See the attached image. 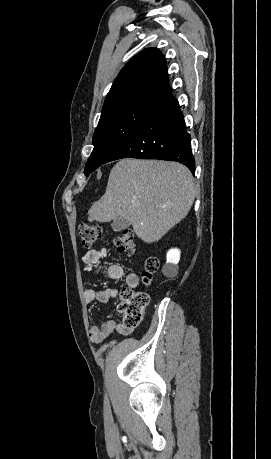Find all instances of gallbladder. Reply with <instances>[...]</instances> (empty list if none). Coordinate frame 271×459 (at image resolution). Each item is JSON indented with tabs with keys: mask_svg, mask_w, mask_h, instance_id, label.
Wrapping results in <instances>:
<instances>
[{
	"mask_svg": "<svg viewBox=\"0 0 271 459\" xmlns=\"http://www.w3.org/2000/svg\"><path fill=\"white\" fill-rule=\"evenodd\" d=\"M130 222L129 220H125V218H118V220H113L111 224V228L114 231H121V229L129 228Z\"/></svg>",
	"mask_w": 271,
	"mask_h": 459,
	"instance_id": "bac80fb5",
	"label": "gallbladder"
}]
</instances>
